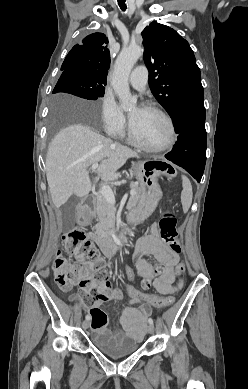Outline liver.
<instances>
[{
  "instance_id": "6515ba94",
  "label": "liver",
  "mask_w": 248,
  "mask_h": 389,
  "mask_svg": "<svg viewBox=\"0 0 248 389\" xmlns=\"http://www.w3.org/2000/svg\"><path fill=\"white\" fill-rule=\"evenodd\" d=\"M68 104L82 102L70 97H58ZM139 157L126 146L93 131L83 124L63 128L52 140L46 156V176L53 204L59 208L72 195L85 197L91 190L87 168L100 163L98 178L112 181L118 178V170L129 158Z\"/></svg>"
}]
</instances>
